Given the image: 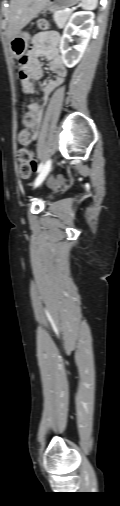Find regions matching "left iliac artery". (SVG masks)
I'll list each match as a JSON object with an SVG mask.
<instances>
[{
  "label": "left iliac artery",
  "instance_id": "left-iliac-artery-1",
  "mask_svg": "<svg viewBox=\"0 0 120 506\" xmlns=\"http://www.w3.org/2000/svg\"><path fill=\"white\" fill-rule=\"evenodd\" d=\"M43 167H44V164H43V163H40V164H39V166H38V168H37V172H38V173H39V172H41V171H42V169H43ZM46 174H47V173H46Z\"/></svg>",
  "mask_w": 120,
  "mask_h": 506
}]
</instances>
